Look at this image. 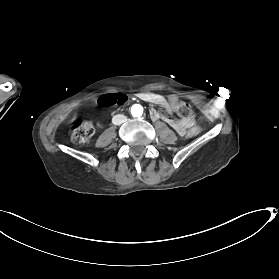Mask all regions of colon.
I'll return each mask as SVG.
<instances>
[{
  "instance_id": "1",
  "label": "colon",
  "mask_w": 279,
  "mask_h": 279,
  "mask_svg": "<svg viewBox=\"0 0 279 279\" xmlns=\"http://www.w3.org/2000/svg\"><path fill=\"white\" fill-rule=\"evenodd\" d=\"M128 97L122 93H108L100 97L99 104L103 107H112L123 105L127 102ZM177 114L185 120L192 119L194 116L190 105L179 102L175 108ZM96 131V127L91 122H75L71 129V139L74 143L81 144L88 141ZM201 133V127L194 126L188 132V137L192 138Z\"/></svg>"
}]
</instances>
